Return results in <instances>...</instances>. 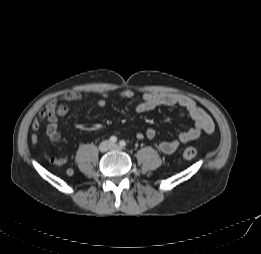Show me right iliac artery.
<instances>
[{
  "mask_svg": "<svg viewBox=\"0 0 261 254\" xmlns=\"http://www.w3.org/2000/svg\"><path fill=\"white\" fill-rule=\"evenodd\" d=\"M109 141H110L111 143H116V142H117V137H116V136H111L110 139H109Z\"/></svg>",
  "mask_w": 261,
  "mask_h": 254,
  "instance_id": "right-iliac-artery-1",
  "label": "right iliac artery"
}]
</instances>
